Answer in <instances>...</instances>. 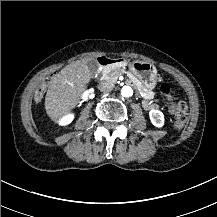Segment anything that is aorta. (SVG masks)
<instances>
[{
    "instance_id": "762f6f07",
    "label": "aorta",
    "mask_w": 217,
    "mask_h": 217,
    "mask_svg": "<svg viewBox=\"0 0 217 217\" xmlns=\"http://www.w3.org/2000/svg\"><path fill=\"white\" fill-rule=\"evenodd\" d=\"M121 95L125 98L133 96V89L130 86H124L121 90Z\"/></svg>"
}]
</instances>
